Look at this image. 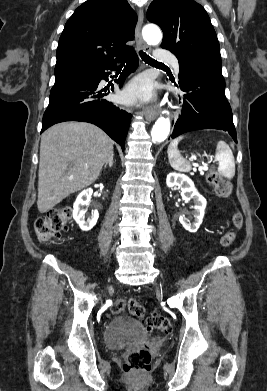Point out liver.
Masks as SVG:
<instances>
[{
    "label": "liver",
    "mask_w": 267,
    "mask_h": 391,
    "mask_svg": "<svg viewBox=\"0 0 267 391\" xmlns=\"http://www.w3.org/2000/svg\"><path fill=\"white\" fill-rule=\"evenodd\" d=\"M113 141L85 122L59 123L41 136L37 207L45 213L94 183L113 157Z\"/></svg>",
    "instance_id": "1"
}]
</instances>
